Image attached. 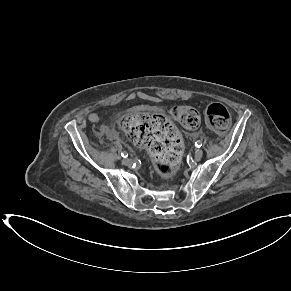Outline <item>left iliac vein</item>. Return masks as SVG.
<instances>
[{
  "mask_svg": "<svg viewBox=\"0 0 291 291\" xmlns=\"http://www.w3.org/2000/svg\"><path fill=\"white\" fill-rule=\"evenodd\" d=\"M202 156H203V151L201 149H197L194 154L195 159L199 160Z\"/></svg>",
  "mask_w": 291,
  "mask_h": 291,
  "instance_id": "4c4485c4",
  "label": "left iliac vein"
}]
</instances>
